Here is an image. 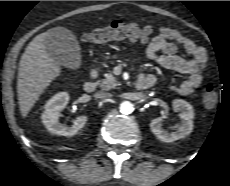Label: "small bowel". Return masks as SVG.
Here are the masks:
<instances>
[{
	"label": "small bowel",
	"mask_w": 230,
	"mask_h": 186,
	"mask_svg": "<svg viewBox=\"0 0 230 186\" xmlns=\"http://www.w3.org/2000/svg\"><path fill=\"white\" fill-rule=\"evenodd\" d=\"M178 46L183 47L189 59L177 55ZM147 54L164 68L186 74L187 78L172 89L179 94L189 95L200 86L203 71L207 65L206 51L195 44L187 35L173 27H161L147 46ZM140 78H150L155 82V76L141 74Z\"/></svg>",
	"instance_id": "small-bowel-1"
}]
</instances>
